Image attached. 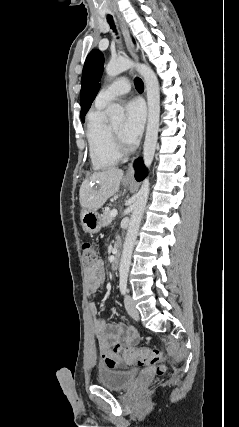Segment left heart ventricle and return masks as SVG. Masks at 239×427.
Segmentation results:
<instances>
[{
    "instance_id": "b2bd125f",
    "label": "left heart ventricle",
    "mask_w": 239,
    "mask_h": 427,
    "mask_svg": "<svg viewBox=\"0 0 239 427\" xmlns=\"http://www.w3.org/2000/svg\"><path fill=\"white\" fill-rule=\"evenodd\" d=\"M112 127H113V129L117 132V134H118L120 137H122V136H121L122 123L115 124V125H113Z\"/></svg>"
}]
</instances>
